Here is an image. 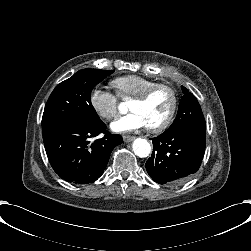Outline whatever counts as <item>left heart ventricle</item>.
Masks as SVG:
<instances>
[{"instance_id": "left-heart-ventricle-1", "label": "left heart ventricle", "mask_w": 251, "mask_h": 251, "mask_svg": "<svg viewBox=\"0 0 251 251\" xmlns=\"http://www.w3.org/2000/svg\"><path fill=\"white\" fill-rule=\"evenodd\" d=\"M173 103V96L169 89H157L147 102L133 101L132 110L141 111L149 125H154L165 119Z\"/></svg>"}]
</instances>
